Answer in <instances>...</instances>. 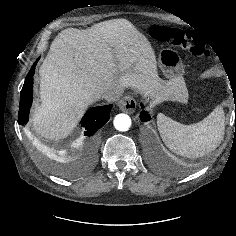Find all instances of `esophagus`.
Here are the masks:
<instances>
[{
  "label": "esophagus",
  "instance_id": "obj_1",
  "mask_svg": "<svg viewBox=\"0 0 236 236\" xmlns=\"http://www.w3.org/2000/svg\"><path fill=\"white\" fill-rule=\"evenodd\" d=\"M118 106L122 111L132 114L136 110V100L133 96L127 95L118 102Z\"/></svg>",
  "mask_w": 236,
  "mask_h": 236
}]
</instances>
